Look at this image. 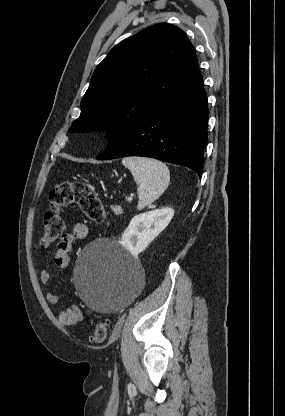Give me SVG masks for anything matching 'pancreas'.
I'll use <instances>...</instances> for the list:
<instances>
[{
    "label": "pancreas",
    "instance_id": "obj_1",
    "mask_svg": "<svg viewBox=\"0 0 285 416\" xmlns=\"http://www.w3.org/2000/svg\"><path fill=\"white\" fill-rule=\"evenodd\" d=\"M112 210L115 212V214H117V216H119V214H123L122 208H120V206H112Z\"/></svg>",
    "mask_w": 285,
    "mask_h": 416
}]
</instances>
